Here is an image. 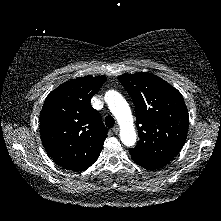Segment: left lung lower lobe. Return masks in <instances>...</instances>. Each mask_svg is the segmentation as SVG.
<instances>
[{"label":"left lung lower lobe","instance_id":"1","mask_svg":"<svg viewBox=\"0 0 221 221\" xmlns=\"http://www.w3.org/2000/svg\"><path fill=\"white\" fill-rule=\"evenodd\" d=\"M133 161H135L138 165L149 169V170H155L158 169L160 167L165 166L166 164H159V163H151V162H147V161H141V160H137V159H133Z\"/></svg>","mask_w":221,"mask_h":221}]
</instances>
